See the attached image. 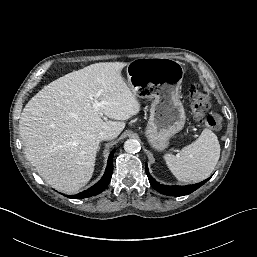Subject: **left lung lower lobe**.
<instances>
[{"label": "left lung lower lobe", "mask_w": 257, "mask_h": 257, "mask_svg": "<svg viewBox=\"0 0 257 257\" xmlns=\"http://www.w3.org/2000/svg\"><path fill=\"white\" fill-rule=\"evenodd\" d=\"M145 170H146V174L148 176L151 186L158 192L165 194V195H169V196L188 195V194L192 193L193 191H195L196 189H198L199 187H201L204 183H206L209 180V178H208V179L204 180L203 182L193 184V185H187V186H175V185L174 186H165V185H162V184L156 182L155 179L152 178V176L149 174L147 164L145 166Z\"/></svg>", "instance_id": "left-lung-lower-lobe-1"}]
</instances>
